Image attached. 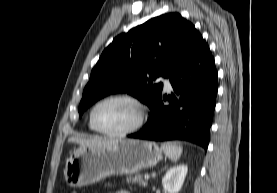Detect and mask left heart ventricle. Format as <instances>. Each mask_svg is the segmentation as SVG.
<instances>
[{"label": "left heart ventricle", "instance_id": "obj_1", "mask_svg": "<svg viewBox=\"0 0 277 193\" xmlns=\"http://www.w3.org/2000/svg\"><path fill=\"white\" fill-rule=\"evenodd\" d=\"M137 107L125 100H112L101 104L95 111L96 124L105 131L117 132L133 126L138 119Z\"/></svg>", "mask_w": 277, "mask_h": 193}]
</instances>
